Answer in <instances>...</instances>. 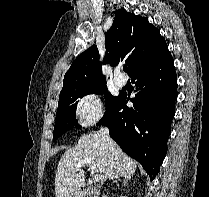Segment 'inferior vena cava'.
<instances>
[{"instance_id":"602c4592","label":"inferior vena cava","mask_w":209,"mask_h":197,"mask_svg":"<svg viewBox=\"0 0 209 197\" xmlns=\"http://www.w3.org/2000/svg\"><path fill=\"white\" fill-rule=\"evenodd\" d=\"M98 134L104 138V140L109 144L111 143V139L109 136V131L106 127L100 128Z\"/></svg>"}]
</instances>
